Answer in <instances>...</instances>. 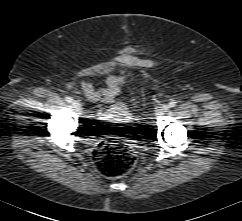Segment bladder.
<instances>
[{"mask_svg":"<svg viewBox=\"0 0 242 221\" xmlns=\"http://www.w3.org/2000/svg\"><path fill=\"white\" fill-rule=\"evenodd\" d=\"M124 110H126L127 109V106L125 105V104H123V103H120L119 104Z\"/></svg>","mask_w":242,"mask_h":221,"instance_id":"1","label":"bladder"}]
</instances>
